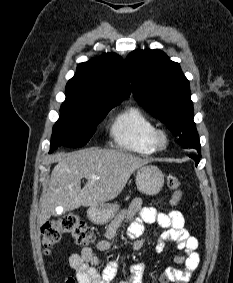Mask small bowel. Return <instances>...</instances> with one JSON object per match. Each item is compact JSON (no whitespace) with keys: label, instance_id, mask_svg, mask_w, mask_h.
I'll list each match as a JSON object with an SVG mask.
<instances>
[{"label":"small bowel","instance_id":"c3829d8e","mask_svg":"<svg viewBox=\"0 0 233 283\" xmlns=\"http://www.w3.org/2000/svg\"><path fill=\"white\" fill-rule=\"evenodd\" d=\"M137 214L138 218L134 219ZM122 222L128 223L126 237L131 241V248L134 251L140 250L145 245L144 224L157 223L163 229L158 237L157 251L161 252L165 242H169L184 252L183 255L176 257V262L183 264L184 268L165 269L161 275V283H187L190 280L200 262L197 252L199 242L185 229V219L180 211L164 213L153 207H142V200L135 198L104 231L103 239L96 245L99 251L104 252L115 247L118 242L115 235ZM101 263V259L89 247L82 248L79 253H74L69 258V265L75 271L78 283H111L117 271V263L108 262L99 272L97 267ZM142 272L141 264H133L130 267L129 277L120 283H142Z\"/></svg>","mask_w":233,"mask_h":283}]
</instances>
